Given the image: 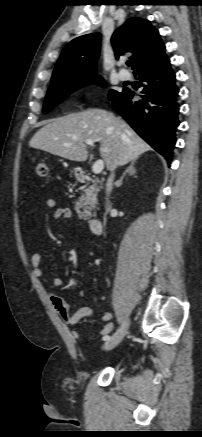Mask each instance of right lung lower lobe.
<instances>
[{"mask_svg": "<svg viewBox=\"0 0 202 437\" xmlns=\"http://www.w3.org/2000/svg\"><path fill=\"white\" fill-rule=\"evenodd\" d=\"M134 74L139 76L143 87L141 99L134 100V92L125 88L109 100L139 136L170 163L179 126V89L170 59L165 54Z\"/></svg>", "mask_w": 202, "mask_h": 437, "instance_id": "98d812e1", "label": "right lung lower lobe"}]
</instances>
